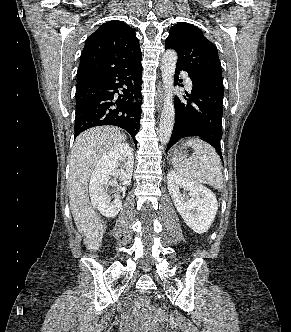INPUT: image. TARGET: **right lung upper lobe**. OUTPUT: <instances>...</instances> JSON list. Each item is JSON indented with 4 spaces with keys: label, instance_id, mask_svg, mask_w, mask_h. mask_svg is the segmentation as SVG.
Instances as JSON below:
<instances>
[{
    "label": "right lung upper lobe",
    "instance_id": "right-lung-upper-lobe-1",
    "mask_svg": "<svg viewBox=\"0 0 291 332\" xmlns=\"http://www.w3.org/2000/svg\"><path fill=\"white\" fill-rule=\"evenodd\" d=\"M142 53L134 30L121 21H109L92 33L81 54L77 78L130 67Z\"/></svg>",
    "mask_w": 291,
    "mask_h": 332
}]
</instances>
